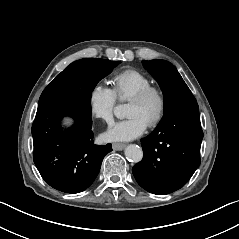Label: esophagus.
<instances>
[{"label": "esophagus", "mask_w": 239, "mask_h": 239, "mask_svg": "<svg viewBox=\"0 0 239 239\" xmlns=\"http://www.w3.org/2000/svg\"><path fill=\"white\" fill-rule=\"evenodd\" d=\"M125 144H123V143H113L112 144V148L114 149V150H117V151H119V150H123L124 148H125Z\"/></svg>", "instance_id": "esophagus-1"}]
</instances>
